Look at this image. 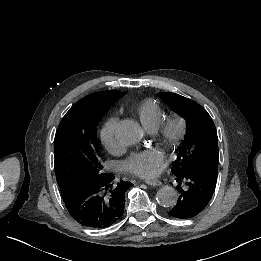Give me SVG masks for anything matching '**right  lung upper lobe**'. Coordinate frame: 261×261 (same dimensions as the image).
<instances>
[{"label": "right lung upper lobe", "mask_w": 261, "mask_h": 261, "mask_svg": "<svg viewBox=\"0 0 261 261\" xmlns=\"http://www.w3.org/2000/svg\"><path fill=\"white\" fill-rule=\"evenodd\" d=\"M125 93L117 90H108L90 94L78 102L89 104L97 107H110L113 103L118 101Z\"/></svg>", "instance_id": "1"}]
</instances>
